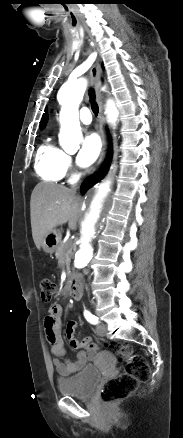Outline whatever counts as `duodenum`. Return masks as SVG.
Instances as JSON below:
<instances>
[{"mask_svg": "<svg viewBox=\"0 0 183 438\" xmlns=\"http://www.w3.org/2000/svg\"><path fill=\"white\" fill-rule=\"evenodd\" d=\"M68 291L74 300H79L81 298L82 286L79 277L74 276L70 279Z\"/></svg>", "mask_w": 183, "mask_h": 438, "instance_id": "410a0bca", "label": "duodenum"}]
</instances>
